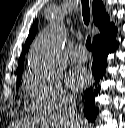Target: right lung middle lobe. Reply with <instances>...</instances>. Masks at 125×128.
Wrapping results in <instances>:
<instances>
[{"label":"right lung middle lobe","instance_id":"right-lung-middle-lobe-1","mask_svg":"<svg viewBox=\"0 0 125 128\" xmlns=\"http://www.w3.org/2000/svg\"><path fill=\"white\" fill-rule=\"evenodd\" d=\"M20 83H21V72L17 74V83H16V88H18V87H19Z\"/></svg>","mask_w":125,"mask_h":128}]
</instances>
